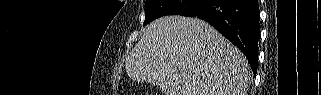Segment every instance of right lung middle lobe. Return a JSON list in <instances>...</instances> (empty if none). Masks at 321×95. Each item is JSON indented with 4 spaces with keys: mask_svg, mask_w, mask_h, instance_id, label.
<instances>
[{
    "mask_svg": "<svg viewBox=\"0 0 321 95\" xmlns=\"http://www.w3.org/2000/svg\"><path fill=\"white\" fill-rule=\"evenodd\" d=\"M207 0H146L143 25L166 15L189 16Z\"/></svg>",
    "mask_w": 321,
    "mask_h": 95,
    "instance_id": "obj_1",
    "label": "right lung middle lobe"
}]
</instances>
